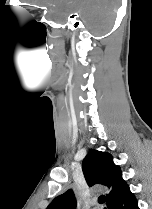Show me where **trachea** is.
<instances>
[{"label":"trachea","instance_id":"trachea-1","mask_svg":"<svg viewBox=\"0 0 152 209\" xmlns=\"http://www.w3.org/2000/svg\"><path fill=\"white\" fill-rule=\"evenodd\" d=\"M98 202H99L100 204L105 203V196H104V195H101V196L98 198Z\"/></svg>","mask_w":152,"mask_h":209}]
</instances>
